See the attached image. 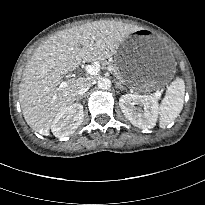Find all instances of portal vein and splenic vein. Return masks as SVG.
<instances>
[{
	"mask_svg": "<svg viewBox=\"0 0 205 205\" xmlns=\"http://www.w3.org/2000/svg\"><path fill=\"white\" fill-rule=\"evenodd\" d=\"M85 71H86V73L89 74V75H96V74L100 71V68L97 67V66H95V65H86V66H85ZM154 94H155V96H157V97H160V96H161V93L158 92V91L155 92Z\"/></svg>",
	"mask_w": 205,
	"mask_h": 205,
	"instance_id": "18ae733b",
	"label": "portal vein and splenic vein"
}]
</instances>
